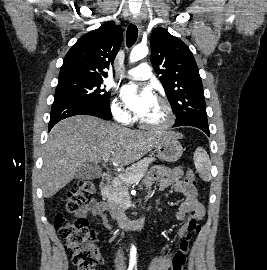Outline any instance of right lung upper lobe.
<instances>
[{"mask_svg":"<svg viewBox=\"0 0 267 270\" xmlns=\"http://www.w3.org/2000/svg\"><path fill=\"white\" fill-rule=\"evenodd\" d=\"M122 42L119 25L107 22L78 39L67 52L59 78L103 79L104 70L113 64Z\"/></svg>","mask_w":267,"mask_h":270,"instance_id":"cb5924a9","label":"right lung upper lobe"}]
</instances>
